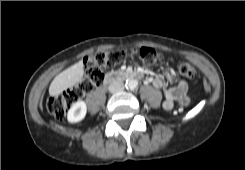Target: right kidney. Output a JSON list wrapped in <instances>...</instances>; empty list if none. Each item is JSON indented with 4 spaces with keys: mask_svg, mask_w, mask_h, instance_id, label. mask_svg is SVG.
Returning <instances> with one entry per match:
<instances>
[{
    "mask_svg": "<svg viewBox=\"0 0 245 170\" xmlns=\"http://www.w3.org/2000/svg\"><path fill=\"white\" fill-rule=\"evenodd\" d=\"M87 112V106L84 101H77L68 111L67 120L70 123H76L84 119Z\"/></svg>",
    "mask_w": 245,
    "mask_h": 170,
    "instance_id": "ca27d5eb",
    "label": "right kidney"
}]
</instances>
